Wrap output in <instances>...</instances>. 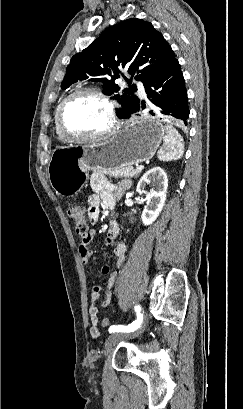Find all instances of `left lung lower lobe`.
Listing matches in <instances>:
<instances>
[{
	"label": "left lung lower lobe",
	"mask_w": 243,
	"mask_h": 409,
	"mask_svg": "<svg viewBox=\"0 0 243 409\" xmlns=\"http://www.w3.org/2000/svg\"><path fill=\"white\" fill-rule=\"evenodd\" d=\"M144 87L149 100L148 105L145 101L138 100L122 118H129L141 109H146L153 116H172L187 125L189 117L187 91L177 59L151 77Z\"/></svg>",
	"instance_id": "1"
}]
</instances>
